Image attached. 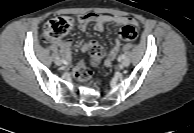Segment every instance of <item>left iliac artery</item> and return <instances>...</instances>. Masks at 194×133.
I'll return each mask as SVG.
<instances>
[{
    "label": "left iliac artery",
    "mask_w": 194,
    "mask_h": 133,
    "mask_svg": "<svg viewBox=\"0 0 194 133\" xmlns=\"http://www.w3.org/2000/svg\"><path fill=\"white\" fill-rule=\"evenodd\" d=\"M121 59H125V55H124V54H122V55L119 57V60H121Z\"/></svg>",
    "instance_id": "left-iliac-artery-1"
}]
</instances>
